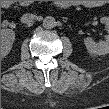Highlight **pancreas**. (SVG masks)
I'll return each instance as SVG.
<instances>
[{"instance_id": "obj_1", "label": "pancreas", "mask_w": 109, "mask_h": 109, "mask_svg": "<svg viewBox=\"0 0 109 109\" xmlns=\"http://www.w3.org/2000/svg\"><path fill=\"white\" fill-rule=\"evenodd\" d=\"M20 4H21V5H26V3H23V2H21Z\"/></svg>"}]
</instances>
